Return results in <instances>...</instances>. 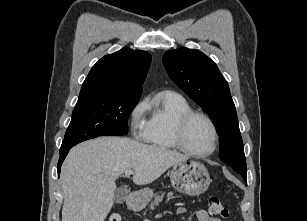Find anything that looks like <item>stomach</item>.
<instances>
[{
	"label": "stomach",
	"instance_id": "obj_1",
	"mask_svg": "<svg viewBox=\"0 0 307 221\" xmlns=\"http://www.w3.org/2000/svg\"><path fill=\"white\" fill-rule=\"evenodd\" d=\"M170 180L177 191L190 196H199L204 193L211 182L207 168L194 160L184 161L173 166L170 171ZM152 196V190L145 188L139 192L133 205L143 207L151 200Z\"/></svg>",
	"mask_w": 307,
	"mask_h": 221
}]
</instances>
